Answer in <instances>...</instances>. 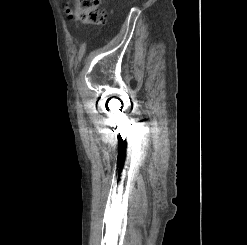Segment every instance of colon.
<instances>
[{
	"label": "colon",
	"mask_w": 247,
	"mask_h": 245,
	"mask_svg": "<svg viewBox=\"0 0 247 245\" xmlns=\"http://www.w3.org/2000/svg\"><path fill=\"white\" fill-rule=\"evenodd\" d=\"M74 17L84 23L101 24L106 19V11L99 6V0H74Z\"/></svg>",
	"instance_id": "5ec220e1"
}]
</instances>
